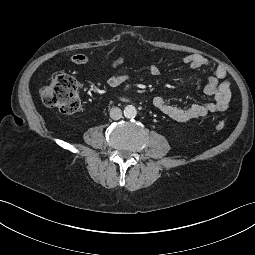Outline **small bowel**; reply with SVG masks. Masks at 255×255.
<instances>
[{
  "instance_id": "small-bowel-1",
  "label": "small bowel",
  "mask_w": 255,
  "mask_h": 255,
  "mask_svg": "<svg viewBox=\"0 0 255 255\" xmlns=\"http://www.w3.org/2000/svg\"><path fill=\"white\" fill-rule=\"evenodd\" d=\"M89 57L86 54H76L70 58V62L74 64H86ZM125 62L124 57H118L110 63L111 69H116ZM183 62L191 69H203L211 67V63L199 54H186L183 57ZM148 75L156 77L160 74L159 68L151 64L147 68ZM227 72L221 65L214 67L213 75L209 77L204 88L205 94L212 96L213 100L192 104L187 107H177L169 104L163 96L157 95L152 99L153 106L172 120L178 122H186L193 119L204 117L210 113L224 111L228 108L231 91L230 82L224 80ZM130 80V75L127 73L111 76L106 80V85L110 88L118 87Z\"/></svg>"
}]
</instances>
